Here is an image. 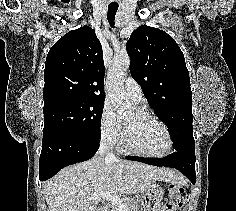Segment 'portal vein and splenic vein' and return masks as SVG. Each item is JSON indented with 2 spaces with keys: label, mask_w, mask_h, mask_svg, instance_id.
Instances as JSON below:
<instances>
[{
  "label": "portal vein and splenic vein",
  "mask_w": 236,
  "mask_h": 211,
  "mask_svg": "<svg viewBox=\"0 0 236 211\" xmlns=\"http://www.w3.org/2000/svg\"><path fill=\"white\" fill-rule=\"evenodd\" d=\"M101 198L112 202L115 206L119 208V211H126L128 207L127 204L123 203L122 199L119 196L110 193H102L100 195H94L90 199L96 201L100 200Z\"/></svg>",
  "instance_id": "portal-vein-and-splenic-vein-1"
}]
</instances>
